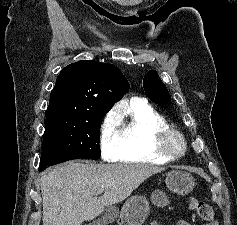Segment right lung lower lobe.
<instances>
[{"instance_id": "obj_1", "label": "right lung lower lobe", "mask_w": 237, "mask_h": 225, "mask_svg": "<svg viewBox=\"0 0 237 225\" xmlns=\"http://www.w3.org/2000/svg\"><path fill=\"white\" fill-rule=\"evenodd\" d=\"M81 157L71 154H42L40 159L39 171L45 170L47 167L62 163L72 159H80Z\"/></svg>"}]
</instances>
